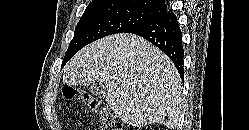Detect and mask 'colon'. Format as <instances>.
Wrapping results in <instances>:
<instances>
[{"instance_id":"1","label":"colon","mask_w":249,"mask_h":130,"mask_svg":"<svg viewBox=\"0 0 249 130\" xmlns=\"http://www.w3.org/2000/svg\"><path fill=\"white\" fill-rule=\"evenodd\" d=\"M62 94L65 99L77 100L93 111L99 122V130H122V125L101 98L72 86L63 87Z\"/></svg>"}]
</instances>
